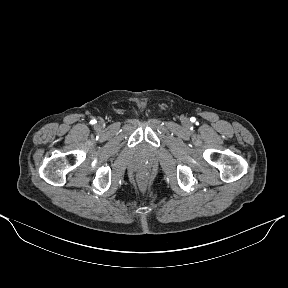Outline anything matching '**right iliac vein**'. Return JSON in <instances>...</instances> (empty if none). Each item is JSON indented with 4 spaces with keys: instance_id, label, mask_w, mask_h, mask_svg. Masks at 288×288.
<instances>
[{
    "instance_id": "obj_1",
    "label": "right iliac vein",
    "mask_w": 288,
    "mask_h": 288,
    "mask_svg": "<svg viewBox=\"0 0 288 288\" xmlns=\"http://www.w3.org/2000/svg\"><path fill=\"white\" fill-rule=\"evenodd\" d=\"M96 126H97V128H99V129H100V128H102V127H103V123H102V122H99V123H98Z\"/></svg>"
}]
</instances>
